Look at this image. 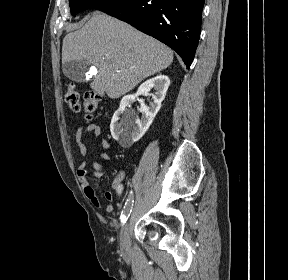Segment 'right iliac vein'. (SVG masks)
<instances>
[{
  "mask_svg": "<svg viewBox=\"0 0 288 280\" xmlns=\"http://www.w3.org/2000/svg\"><path fill=\"white\" fill-rule=\"evenodd\" d=\"M129 229L130 223L129 221L123 226L121 235H120V248L123 253H128L130 248V240H129Z\"/></svg>",
  "mask_w": 288,
  "mask_h": 280,
  "instance_id": "1",
  "label": "right iliac vein"
}]
</instances>
